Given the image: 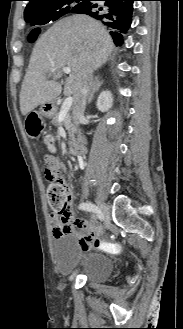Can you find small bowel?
<instances>
[{"instance_id": "small-bowel-1", "label": "small bowel", "mask_w": 183, "mask_h": 329, "mask_svg": "<svg viewBox=\"0 0 183 329\" xmlns=\"http://www.w3.org/2000/svg\"><path fill=\"white\" fill-rule=\"evenodd\" d=\"M48 162L55 169H62L61 162L56 158H49ZM71 198L72 193L70 192ZM53 223V236L60 237L63 234L70 233L77 236L79 247L82 251H87L95 246L97 237L101 234L102 228L96 222L87 219H75L69 210L68 215L62 219L56 215H51Z\"/></svg>"}]
</instances>
